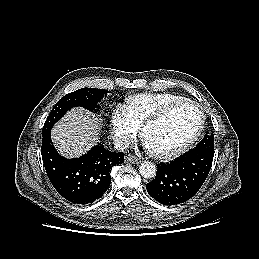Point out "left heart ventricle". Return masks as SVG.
Listing matches in <instances>:
<instances>
[{
  "instance_id": "obj_1",
  "label": "left heart ventricle",
  "mask_w": 259,
  "mask_h": 259,
  "mask_svg": "<svg viewBox=\"0 0 259 259\" xmlns=\"http://www.w3.org/2000/svg\"><path fill=\"white\" fill-rule=\"evenodd\" d=\"M200 121L199 111L191 105L172 110L146 132L145 144L154 151H166L186 141Z\"/></svg>"
}]
</instances>
